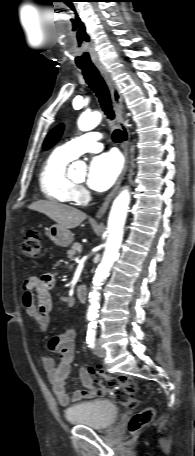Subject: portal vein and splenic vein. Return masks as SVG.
Segmentation results:
<instances>
[{
	"label": "portal vein and splenic vein",
	"instance_id": "portal-vein-and-splenic-vein-1",
	"mask_svg": "<svg viewBox=\"0 0 195 456\" xmlns=\"http://www.w3.org/2000/svg\"><path fill=\"white\" fill-rule=\"evenodd\" d=\"M77 251H78V252H81V251H82V247H81V246H78V247H77Z\"/></svg>",
	"mask_w": 195,
	"mask_h": 456
}]
</instances>
